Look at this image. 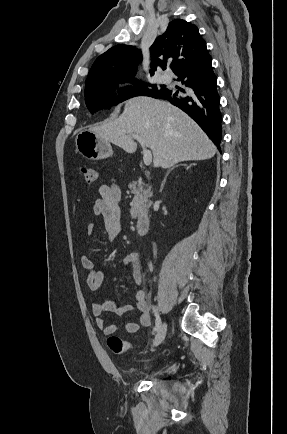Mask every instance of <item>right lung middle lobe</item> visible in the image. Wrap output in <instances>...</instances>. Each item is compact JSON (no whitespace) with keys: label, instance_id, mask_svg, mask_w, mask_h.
<instances>
[{"label":"right lung middle lobe","instance_id":"right-lung-middle-lobe-1","mask_svg":"<svg viewBox=\"0 0 287 434\" xmlns=\"http://www.w3.org/2000/svg\"><path fill=\"white\" fill-rule=\"evenodd\" d=\"M122 82H132L136 84V86H128L122 89L117 100L112 97L109 99L108 95L112 93L114 87H116L118 83ZM158 90L160 89H158L156 85L138 82L133 78L110 79L85 85V102L89 111L94 113L99 109L109 108L111 104H115L116 102H121L125 99L139 95L148 96Z\"/></svg>","mask_w":287,"mask_h":434}]
</instances>
